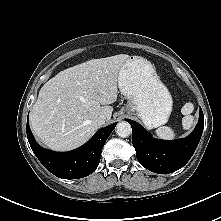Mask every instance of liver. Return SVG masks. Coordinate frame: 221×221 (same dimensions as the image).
Listing matches in <instances>:
<instances>
[{
	"label": "liver",
	"instance_id": "6515ba94",
	"mask_svg": "<svg viewBox=\"0 0 221 221\" xmlns=\"http://www.w3.org/2000/svg\"><path fill=\"white\" fill-rule=\"evenodd\" d=\"M129 55L92 59L59 72L39 91L30 112L35 135L55 151L75 149L86 141L105 121L111 119L117 100L118 76Z\"/></svg>",
	"mask_w": 221,
	"mask_h": 221
}]
</instances>
